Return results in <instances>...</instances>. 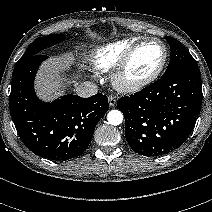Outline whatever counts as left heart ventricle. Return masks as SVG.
<instances>
[{"label": "left heart ventricle", "instance_id": "1", "mask_svg": "<svg viewBox=\"0 0 212 212\" xmlns=\"http://www.w3.org/2000/svg\"><path fill=\"white\" fill-rule=\"evenodd\" d=\"M163 58V49L158 43H147L143 45L134 55L127 77L135 80L147 76L153 72Z\"/></svg>", "mask_w": 212, "mask_h": 212}]
</instances>
